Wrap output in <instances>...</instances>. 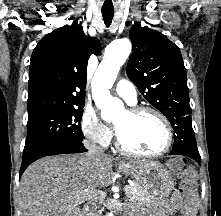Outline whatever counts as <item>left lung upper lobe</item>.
<instances>
[{
    "mask_svg": "<svg viewBox=\"0 0 221 216\" xmlns=\"http://www.w3.org/2000/svg\"><path fill=\"white\" fill-rule=\"evenodd\" d=\"M130 38L133 52L127 65L129 79L170 121L174 129L172 149L187 148L199 154L180 49L162 33L139 23L131 27Z\"/></svg>",
    "mask_w": 221,
    "mask_h": 216,
    "instance_id": "5c2ea615",
    "label": "left lung upper lobe"
}]
</instances>
